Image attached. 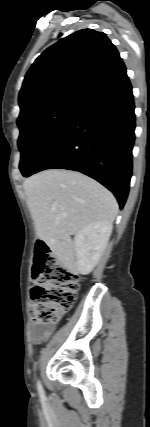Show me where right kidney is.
I'll return each instance as SVG.
<instances>
[{
  "mask_svg": "<svg viewBox=\"0 0 150 427\" xmlns=\"http://www.w3.org/2000/svg\"><path fill=\"white\" fill-rule=\"evenodd\" d=\"M112 223H91L74 237L77 269L82 275L89 274L99 262L112 233Z\"/></svg>",
  "mask_w": 150,
  "mask_h": 427,
  "instance_id": "ca27d5eb",
  "label": "right kidney"
}]
</instances>
